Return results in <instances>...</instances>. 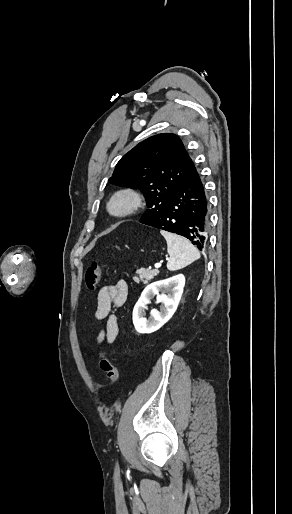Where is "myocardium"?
Here are the masks:
<instances>
[{
	"instance_id": "1",
	"label": "myocardium",
	"mask_w": 292,
	"mask_h": 514,
	"mask_svg": "<svg viewBox=\"0 0 292 514\" xmlns=\"http://www.w3.org/2000/svg\"><path fill=\"white\" fill-rule=\"evenodd\" d=\"M140 203L138 193L131 189H121L112 195L106 209L109 215L121 217L134 212Z\"/></svg>"
}]
</instances>
